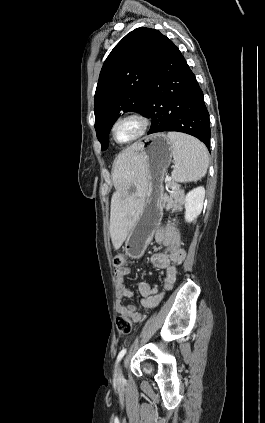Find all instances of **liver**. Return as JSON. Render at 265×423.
Instances as JSON below:
<instances>
[{
    "instance_id": "1",
    "label": "liver",
    "mask_w": 265,
    "mask_h": 423,
    "mask_svg": "<svg viewBox=\"0 0 265 423\" xmlns=\"http://www.w3.org/2000/svg\"><path fill=\"white\" fill-rule=\"evenodd\" d=\"M139 150V143L131 145L118 155L114 164L112 178L116 192L111 199L109 229L116 250L133 227L147 192V174ZM130 187L135 188L136 192H129Z\"/></svg>"
}]
</instances>
